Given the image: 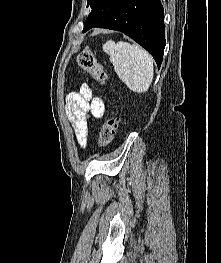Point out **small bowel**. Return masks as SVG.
Returning a JSON list of instances; mask_svg holds the SVG:
<instances>
[{"instance_id": "obj_1", "label": "small bowel", "mask_w": 221, "mask_h": 263, "mask_svg": "<svg viewBox=\"0 0 221 263\" xmlns=\"http://www.w3.org/2000/svg\"><path fill=\"white\" fill-rule=\"evenodd\" d=\"M66 113L71 121L75 138L81 148L88 144L90 117L101 118L105 105L102 99L94 97L89 85L84 84L79 91L67 95Z\"/></svg>"}]
</instances>
